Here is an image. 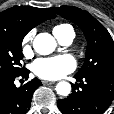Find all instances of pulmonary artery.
I'll return each mask as SVG.
<instances>
[{"label":"pulmonary artery","instance_id":"e3ab8cb5","mask_svg":"<svg viewBox=\"0 0 114 114\" xmlns=\"http://www.w3.org/2000/svg\"><path fill=\"white\" fill-rule=\"evenodd\" d=\"M74 31L70 30L68 31L63 37H61L59 40V42L63 45H69L72 43L73 39H74Z\"/></svg>","mask_w":114,"mask_h":114}]
</instances>
